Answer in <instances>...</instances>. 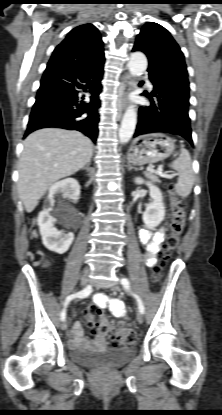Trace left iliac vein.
<instances>
[{
  "label": "left iliac vein",
  "mask_w": 222,
  "mask_h": 415,
  "mask_svg": "<svg viewBox=\"0 0 222 415\" xmlns=\"http://www.w3.org/2000/svg\"><path fill=\"white\" fill-rule=\"evenodd\" d=\"M109 288L112 289V290H118L119 286H118V284L114 283V284H111L109 286ZM136 319H137L138 323H143V321H144L143 314L141 312H138Z\"/></svg>",
  "instance_id": "left-iliac-vein-1"
}]
</instances>
